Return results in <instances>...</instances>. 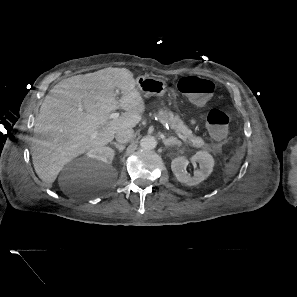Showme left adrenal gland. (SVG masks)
Here are the masks:
<instances>
[{
	"label": "left adrenal gland",
	"instance_id": "1",
	"mask_svg": "<svg viewBox=\"0 0 297 297\" xmlns=\"http://www.w3.org/2000/svg\"><path fill=\"white\" fill-rule=\"evenodd\" d=\"M163 144L168 147V146H174V145H178V146H181V142L174 138V137H171V138H168L166 140H163Z\"/></svg>",
	"mask_w": 297,
	"mask_h": 297
}]
</instances>
